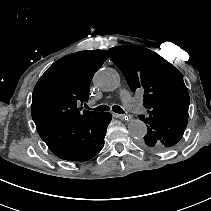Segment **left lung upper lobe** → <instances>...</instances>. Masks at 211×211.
Wrapping results in <instances>:
<instances>
[{"instance_id":"left-lung-upper-lobe-1","label":"left lung upper lobe","mask_w":211,"mask_h":211,"mask_svg":"<svg viewBox=\"0 0 211 211\" xmlns=\"http://www.w3.org/2000/svg\"><path fill=\"white\" fill-rule=\"evenodd\" d=\"M109 52L130 89L144 92L147 113L139 118L148 132L141 146L151 152H164L177 145L187 126L189 108V93L181 73L144 47L117 46Z\"/></svg>"}]
</instances>
